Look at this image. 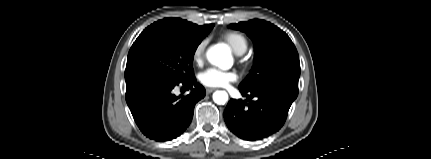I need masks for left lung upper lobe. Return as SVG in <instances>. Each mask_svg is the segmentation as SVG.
<instances>
[{"mask_svg": "<svg viewBox=\"0 0 431 159\" xmlns=\"http://www.w3.org/2000/svg\"><path fill=\"white\" fill-rule=\"evenodd\" d=\"M229 27L245 32L255 46L254 65L239 88L250 91L279 84L298 91L299 55L285 32L259 19L231 24Z\"/></svg>", "mask_w": 431, "mask_h": 159, "instance_id": "obj_1", "label": "left lung upper lobe"}]
</instances>
